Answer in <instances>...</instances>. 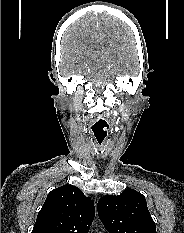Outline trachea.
Wrapping results in <instances>:
<instances>
[{"instance_id": "obj_1", "label": "trachea", "mask_w": 184, "mask_h": 233, "mask_svg": "<svg viewBox=\"0 0 184 233\" xmlns=\"http://www.w3.org/2000/svg\"><path fill=\"white\" fill-rule=\"evenodd\" d=\"M92 130H93V135L95 137L97 145L99 147H101L102 144L104 143L106 136H107L106 129L104 128V126H96Z\"/></svg>"}]
</instances>
